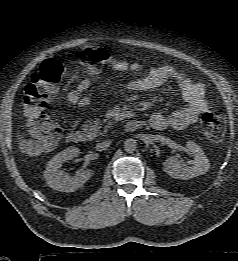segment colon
<instances>
[{
	"instance_id": "5ec220e1",
	"label": "colon",
	"mask_w": 238,
	"mask_h": 261,
	"mask_svg": "<svg viewBox=\"0 0 238 261\" xmlns=\"http://www.w3.org/2000/svg\"><path fill=\"white\" fill-rule=\"evenodd\" d=\"M82 60L91 72H97L109 62L110 53L103 47H91L83 51ZM62 75V64L55 59H47L32 74L30 83L25 87L24 112L32 138L24 140L21 146L28 153L52 149L61 138V130L49 117L46 107L48 92L56 89ZM226 126L227 117L222 111L211 109L202 115L203 132L213 142L222 140Z\"/></svg>"
}]
</instances>
